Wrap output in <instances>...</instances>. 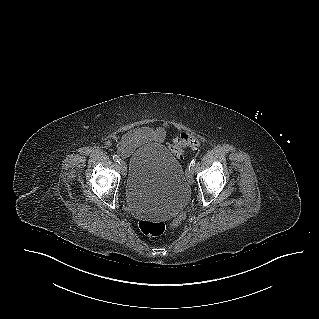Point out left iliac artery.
Returning a JSON list of instances; mask_svg holds the SVG:
<instances>
[{
	"mask_svg": "<svg viewBox=\"0 0 319 319\" xmlns=\"http://www.w3.org/2000/svg\"><path fill=\"white\" fill-rule=\"evenodd\" d=\"M195 163H196V159L194 158V159H192V161L190 162L189 169L191 168V169H193V171H194Z\"/></svg>",
	"mask_w": 319,
	"mask_h": 319,
	"instance_id": "left-iliac-artery-1",
	"label": "left iliac artery"
}]
</instances>
